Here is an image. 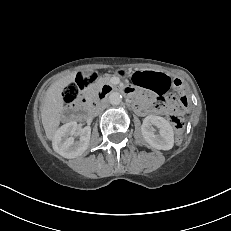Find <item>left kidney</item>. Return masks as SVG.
Instances as JSON below:
<instances>
[{"instance_id": "1", "label": "left kidney", "mask_w": 231, "mask_h": 231, "mask_svg": "<svg viewBox=\"0 0 231 231\" xmlns=\"http://www.w3.org/2000/svg\"><path fill=\"white\" fill-rule=\"evenodd\" d=\"M153 126L159 129L155 134ZM141 132L145 141L159 150H170L174 145V131L171 124L160 116L149 115L143 120Z\"/></svg>"}]
</instances>
